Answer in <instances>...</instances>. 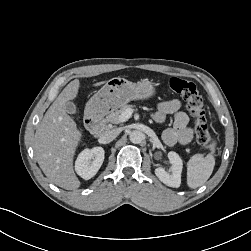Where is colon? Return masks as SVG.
I'll return each instance as SVG.
<instances>
[{"label": "colon", "mask_w": 251, "mask_h": 251, "mask_svg": "<svg viewBox=\"0 0 251 251\" xmlns=\"http://www.w3.org/2000/svg\"><path fill=\"white\" fill-rule=\"evenodd\" d=\"M169 88L176 94L181 95L186 101L194 126L196 129L197 142L206 149L213 147V139L208 129L205 116L204 103L197 86L189 80L172 77L169 80Z\"/></svg>", "instance_id": "1"}]
</instances>
